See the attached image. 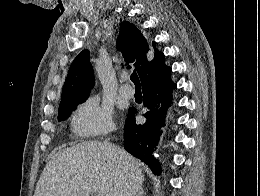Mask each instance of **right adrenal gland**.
<instances>
[{
  "label": "right adrenal gland",
  "mask_w": 260,
  "mask_h": 196,
  "mask_svg": "<svg viewBox=\"0 0 260 196\" xmlns=\"http://www.w3.org/2000/svg\"><path fill=\"white\" fill-rule=\"evenodd\" d=\"M137 196H143V194H137Z\"/></svg>",
  "instance_id": "right-adrenal-gland-1"
}]
</instances>
